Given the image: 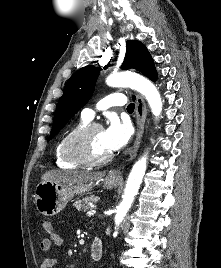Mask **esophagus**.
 Returning <instances> with one entry per match:
<instances>
[{"instance_id": "1", "label": "esophagus", "mask_w": 221, "mask_h": 268, "mask_svg": "<svg viewBox=\"0 0 221 268\" xmlns=\"http://www.w3.org/2000/svg\"><path fill=\"white\" fill-rule=\"evenodd\" d=\"M135 97H136L135 117L137 127H136L134 144L129 151L131 159L134 158L137 154L143 136L144 123L147 116V107L144 99L139 94H135ZM121 175H122L121 169H114L109 173V177L111 178H120Z\"/></svg>"}]
</instances>
